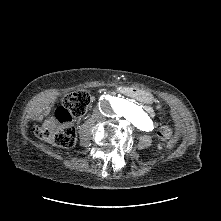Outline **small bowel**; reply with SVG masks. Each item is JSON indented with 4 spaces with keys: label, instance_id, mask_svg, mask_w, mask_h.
Returning a JSON list of instances; mask_svg holds the SVG:
<instances>
[{
    "label": "small bowel",
    "instance_id": "1",
    "mask_svg": "<svg viewBox=\"0 0 221 221\" xmlns=\"http://www.w3.org/2000/svg\"><path fill=\"white\" fill-rule=\"evenodd\" d=\"M147 113H148V115H151V110H150L149 108H147ZM181 126H182V124H181L180 120H178V121H177V127H178V129H180Z\"/></svg>",
    "mask_w": 221,
    "mask_h": 221
}]
</instances>
